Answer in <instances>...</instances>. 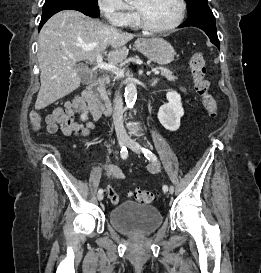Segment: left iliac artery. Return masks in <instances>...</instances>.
Masks as SVG:
<instances>
[{"instance_id": "left-iliac-artery-1", "label": "left iliac artery", "mask_w": 261, "mask_h": 273, "mask_svg": "<svg viewBox=\"0 0 261 273\" xmlns=\"http://www.w3.org/2000/svg\"><path fill=\"white\" fill-rule=\"evenodd\" d=\"M142 151H143V153H144V156H145L149 161H152V162H156V161H157V157H156L155 154L152 153L150 150L145 149V148H142ZM162 189H163L164 192H166V191H168V186H167V185H164ZM169 189L174 191V187H173V186H170Z\"/></svg>"}]
</instances>
